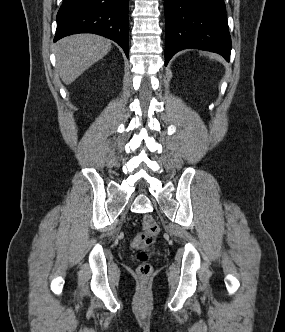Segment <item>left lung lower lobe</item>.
Returning <instances> with one entry per match:
<instances>
[{"label": "left lung lower lobe", "instance_id": "left-lung-lower-lobe-1", "mask_svg": "<svg viewBox=\"0 0 285 332\" xmlns=\"http://www.w3.org/2000/svg\"><path fill=\"white\" fill-rule=\"evenodd\" d=\"M165 65L180 50L197 48L230 59L224 0H164Z\"/></svg>", "mask_w": 285, "mask_h": 332}]
</instances>
